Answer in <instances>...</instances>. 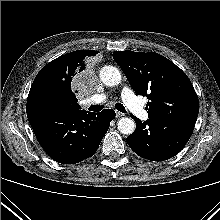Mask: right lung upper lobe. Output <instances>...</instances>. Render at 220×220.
I'll list each match as a JSON object with an SVG mask.
<instances>
[{
    "instance_id": "obj_1",
    "label": "right lung upper lobe",
    "mask_w": 220,
    "mask_h": 220,
    "mask_svg": "<svg viewBox=\"0 0 220 220\" xmlns=\"http://www.w3.org/2000/svg\"><path fill=\"white\" fill-rule=\"evenodd\" d=\"M97 53L98 51L94 50H77L48 63L35 77L27 104L35 103V96L39 91L52 90L62 96L67 108L80 110L76 96L71 90V82L76 74L85 70L87 60Z\"/></svg>"
}]
</instances>
